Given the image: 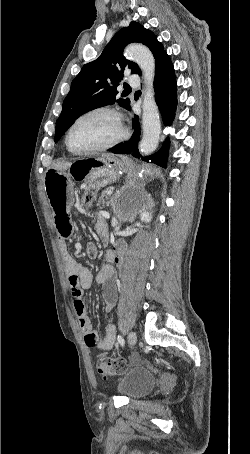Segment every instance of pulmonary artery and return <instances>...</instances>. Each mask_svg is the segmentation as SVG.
Listing matches in <instances>:
<instances>
[{
  "label": "pulmonary artery",
  "mask_w": 250,
  "mask_h": 454,
  "mask_svg": "<svg viewBox=\"0 0 250 454\" xmlns=\"http://www.w3.org/2000/svg\"><path fill=\"white\" fill-rule=\"evenodd\" d=\"M127 82L129 84H131V85H138L139 84V77L136 74H131L128 77Z\"/></svg>",
  "instance_id": "pulmonary-artery-1"
}]
</instances>
